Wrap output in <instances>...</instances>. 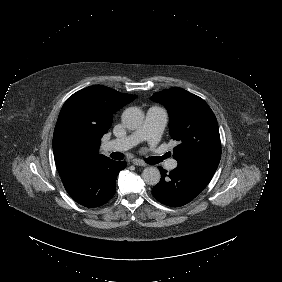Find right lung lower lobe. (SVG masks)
Wrapping results in <instances>:
<instances>
[{"instance_id": "obj_1", "label": "right lung lower lobe", "mask_w": 282, "mask_h": 282, "mask_svg": "<svg viewBox=\"0 0 282 282\" xmlns=\"http://www.w3.org/2000/svg\"><path fill=\"white\" fill-rule=\"evenodd\" d=\"M127 163L103 157L85 163L63 175L61 180L68 194L85 207H98L115 194L116 178Z\"/></svg>"}]
</instances>
